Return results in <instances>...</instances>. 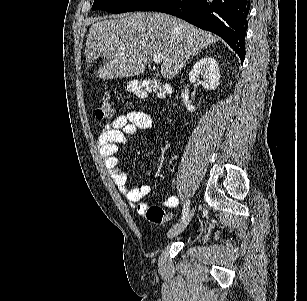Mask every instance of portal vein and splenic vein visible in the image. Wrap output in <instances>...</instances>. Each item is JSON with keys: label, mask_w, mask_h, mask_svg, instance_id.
Listing matches in <instances>:
<instances>
[{"label": "portal vein and splenic vein", "mask_w": 307, "mask_h": 301, "mask_svg": "<svg viewBox=\"0 0 307 301\" xmlns=\"http://www.w3.org/2000/svg\"><path fill=\"white\" fill-rule=\"evenodd\" d=\"M121 50H124V48H121ZM153 60L156 62V64H159V62H162L163 58L161 54H154Z\"/></svg>", "instance_id": "portal-vein-and-splenic-vein-1"}]
</instances>
